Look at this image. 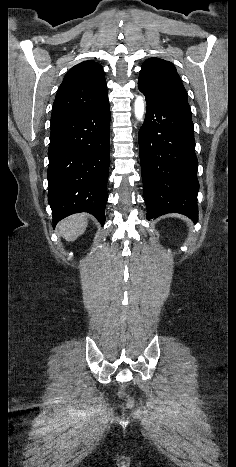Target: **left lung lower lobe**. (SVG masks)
<instances>
[{
  "mask_svg": "<svg viewBox=\"0 0 236 467\" xmlns=\"http://www.w3.org/2000/svg\"><path fill=\"white\" fill-rule=\"evenodd\" d=\"M139 150L147 219L176 212L198 221V160L189 104L146 98Z\"/></svg>",
  "mask_w": 236,
  "mask_h": 467,
  "instance_id": "left-lung-lower-lobe-1",
  "label": "left lung lower lobe"
}]
</instances>
